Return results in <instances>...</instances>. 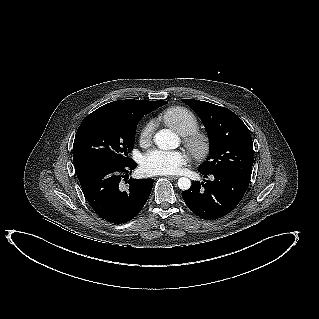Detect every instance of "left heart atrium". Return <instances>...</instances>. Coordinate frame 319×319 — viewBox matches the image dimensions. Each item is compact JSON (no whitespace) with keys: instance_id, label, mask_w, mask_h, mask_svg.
I'll list each match as a JSON object with an SVG mask.
<instances>
[{"instance_id":"1","label":"left heart atrium","mask_w":319,"mask_h":319,"mask_svg":"<svg viewBox=\"0 0 319 319\" xmlns=\"http://www.w3.org/2000/svg\"><path fill=\"white\" fill-rule=\"evenodd\" d=\"M185 153L179 150H150L140 160L141 171L149 176L174 174L186 163Z\"/></svg>"}]
</instances>
